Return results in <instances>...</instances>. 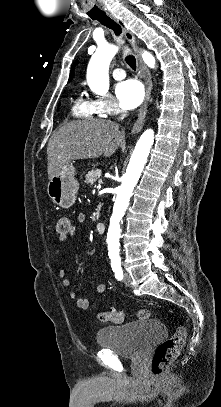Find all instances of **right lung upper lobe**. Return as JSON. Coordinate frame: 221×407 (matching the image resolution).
<instances>
[{
	"mask_svg": "<svg viewBox=\"0 0 221 407\" xmlns=\"http://www.w3.org/2000/svg\"><path fill=\"white\" fill-rule=\"evenodd\" d=\"M78 63V60L75 62V64L71 67V75H70V79L69 81L72 79V75H73V69L75 68V65Z\"/></svg>",
	"mask_w": 221,
	"mask_h": 407,
	"instance_id": "obj_1",
	"label": "right lung upper lobe"
}]
</instances>
